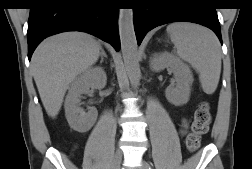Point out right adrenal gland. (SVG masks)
Here are the masks:
<instances>
[{"mask_svg": "<svg viewBox=\"0 0 252 169\" xmlns=\"http://www.w3.org/2000/svg\"><path fill=\"white\" fill-rule=\"evenodd\" d=\"M105 59H108V55L104 49L101 51V56H100V65L102 66V63L104 62Z\"/></svg>", "mask_w": 252, "mask_h": 169, "instance_id": "right-adrenal-gland-1", "label": "right adrenal gland"}]
</instances>
